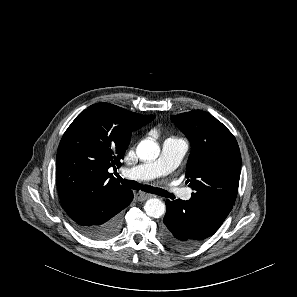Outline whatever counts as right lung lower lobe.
I'll use <instances>...</instances> for the list:
<instances>
[{"mask_svg": "<svg viewBox=\"0 0 297 297\" xmlns=\"http://www.w3.org/2000/svg\"><path fill=\"white\" fill-rule=\"evenodd\" d=\"M132 199L133 192L129 189L103 190L86 195L66 213L84 236L94 240H107L119 232L122 210Z\"/></svg>", "mask_w": 297, "mask_h": 297, "instance_id": "right-lung-lower-lobe-1", "label": "right lung lower lobe"}]
</instances>
